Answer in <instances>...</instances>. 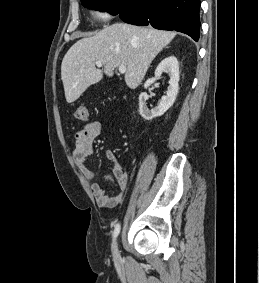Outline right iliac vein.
Wrapping results in <instances>:
<instances>
[{"instance_id": "1", "label": "right iliac vein", "mask_w": 259, "mask_h": 283, "mask_svg": "<svg viewBox=\"0 0 259 283\" xmlns=\"http://www.w3.org/2000/svg\"><path fill=\"white\" fill-rule=\"evenodd\" d=\"M112 251L115 259H118L119 257V251L117 246V240L115 239L112 243Z\"/></svg>"}]
</instances>
